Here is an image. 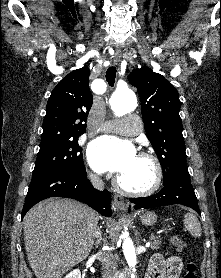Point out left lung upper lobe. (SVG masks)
Returning a JSON list of instances; mask_svg holds the SVG:
<instances>
[{"mask_svg": "<svg viewBox=\"0 0 221 278\" xmlns=\"http://www.w3.org/2000/svg\"><path fill=\"white\" fill-rule=\"evenodd\" d=\"M128 80L140 96L146 135L160 161L164 180L187 170L177 90L162 75L147 67L132 71Z\"/></svg>", "mask_w": 221, "mask_h": 278, "instance_id": "1", "label": "left lung upper lobe"}]
</instances>
